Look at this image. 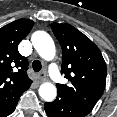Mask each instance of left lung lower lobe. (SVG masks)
I'll list each match as a JSON object with an SVG mask.
<instances>
[{
	"instance_id": "1",
	"label": "left lung lower lobe",
	"mask_w": 117,
	"mask_h": 117,
	"mask_svg": "<svg viewBox=\"0 0 117 117\" xmlns=\"http://www.w3.org/2000/svg\"><path fill=\"white\" fill-rule=\"evenodd\" d=\"M45 111L49 117H85L90 113L60 94L53 102L45 103Z\"/></svg>"
}]
</instances>
